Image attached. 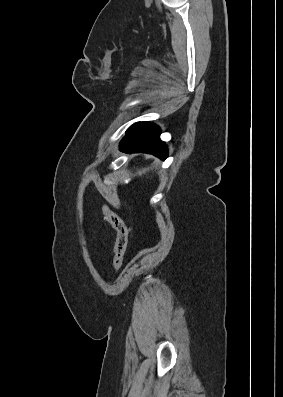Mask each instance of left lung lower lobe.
<instances>
[{
    "mask_svg": "<svg viewBox=\"0 0 283 397\" xmlns=\"http://www.w3.org/2000/svg\"><path fill=\"white\" fill-rule=\"evenodd\" d=\"M159 135L160 128L155 124L137 122L127 129L120 143V149L124 152H145L164 160L168 151Z\"/></svg>",
    "mask_w": 283,
    "mask_h": 397,
    "instance_id": "obj_1",
    "label": "left lung lower lobe"
}]
</instances>
